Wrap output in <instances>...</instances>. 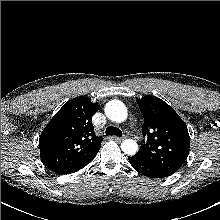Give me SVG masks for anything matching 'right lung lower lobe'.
<instances>
[{
  "instance_id": "obj_1",
  "label": "right lung lower lobe",
  "mask_w": 220,
  "mask_h": 220,
  "mask_svg": "<svg viewBox=\"0 0 220 220\" xmlns=\"http://www.w3.org/2000/svg\"><path fill=\"white\" fill-rule=\"evenodd\" d=\"M97 153H95L91 158L85 160V161H82V162H79V163H76L74 165H71L63 170H60L58 172H56L57 174H70V173H74L80 169H82L83 167H85L87 164H89L96 156Z\"/></svg>"
}]
</instances>
